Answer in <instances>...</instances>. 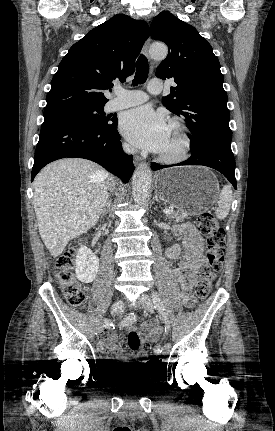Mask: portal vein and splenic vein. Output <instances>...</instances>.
I'll return each mask as SVG.
<instances>
[{"label":"portal vein and splenic vein","instance_id":"18ae733b","mask_svg":"<svg viewBox=\"0 0 275 431\" xmlns=\"http://www.w3.org/2000/svg\"><path fill=\"white\" fill-rule=\"evenodd\" d=\"M163 212H164L165 214H173V213H174L173 209H171V208L164 209V210H163Z\"/></svg>","mask_w":275,"mask_h":431}]
</instances>
